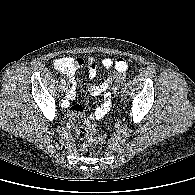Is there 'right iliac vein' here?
<instances>
[{
	"mask_svg": "<svg viewBox=\"0 0 195 195\" xmlns=\"http://www.w3.org/2000/svg\"><path fill=\"white\" fill-rule=\"evenodd\" d=\"M61 92H62V94H66L67 88H66L65 85H63V86L61 87Z\"/></svg>",
	"mask_w": 195,
	"mask_h": 195,
	"instance_id": "1",
	"label": "right iliac vein"
}]
</instances>
